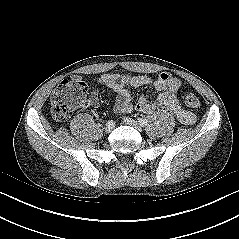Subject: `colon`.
I'll use <instances>...</instances> for the list:
<instances>
[{
	"label": "colon",
	"instance_id": "5ec220e1",
	"mask_svg": "<svg viewBox=\"0 0 239 239\" xmlns=\"http://www.w3.org/2000/svg\"><path fill=\"white\" fill-rule=\"evenodd\" d=\"M86 92V84L79 79L62 81L50 98V109L55 121H65L84 100ZM182 101L190 108H197L200 104L196 94L191 91L183 92Z\"/></svg>",
	"mask_w": 239,
	"mask_h": 239
}]
</instances>
